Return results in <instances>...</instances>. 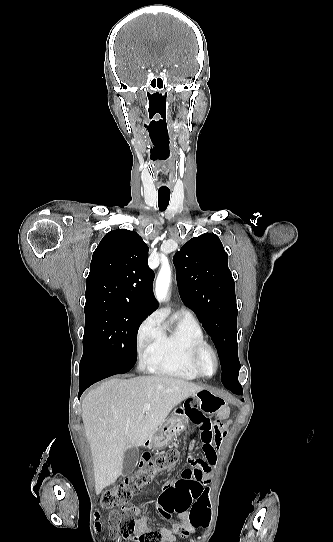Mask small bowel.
I'll return each instance as SVG.
<instances>
[{"label":"small bowel","instance_id":"obj_1","mask_svg":"<svg viewBox=\"0 0 333 542\" xmlns=\"http://www.w3.org/2000/svg\"><path fill=\"white\" fill-rule=\"evenodd\" d=\"M183 407L187 410L183 414L182 408L176 409V414L181 415L180 418L184 420H190L192 423L196 424L197 439L201 441L202 448L206 459L209 463H213L220 454L218 450L222 444V441L225 436V432L228 428V423H221L223 418V411L221 409H213L211 414L206 418L203 413L197 409L198 404L194 400H187L184 402ZM195 446V442L191 444V449ZM149 455H145L144 459L147 460ZM194 469L189 470L190 476L189 479L194 481L198 487V480L201 479L203 472L207 469V464L203 461H194ZM196 472L194 473V471ZM169 488L174 487V485L169 484ZM206 500H200L196 502L191 508L190 512L188 510H183V517L180 522H173L170 526H161V527H151L147 524L148 515L151 509L143 511L138 506H132L133 510L131 514L135 520V527L138 533L145 532H156L161 537V542H176L177 535H185L192 532L198 526H204L205 529L211 528V523L209 522V511L206 508Z\"/></svg>","mask_w":333,"mask_h":542}]
</instances>
